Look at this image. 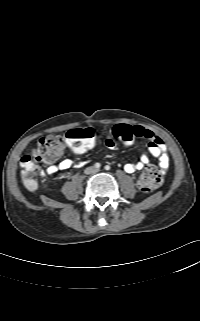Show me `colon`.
Returning <instances> with one entry per match:
<instances>
[{
    "instance_id": "1",
    "label": "colon",
    "mask_w": 200,
    "mask_h": 321,
    "mask_svg": "<svg viewBox=\"0 0 200 321\" xmlns=\"http://www.w3.org/2000/svg\"><path fill=\"white\" fill-rule=\"evenodd\" d=\"M138 135V132L129 125L120 124L112 129L113 138L124 145L131 144ZM94 141L95 133L91 128H76L67 131L64 135L42 137L35 149L20 160L25 187L30 191L36 189L35 176L41 164L58 156L65 145L77 153H83L93 146ZM162 181V171L155 166H148L140 175L137 185L143 193H151L160 186Z\"/></svg>"
}]
</instances>
